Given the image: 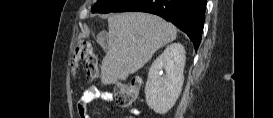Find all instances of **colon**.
Instances as JSON below:
<instances>
[{
  "mask_svg": "<svg viewBox=\"0 0 273 118\" xmlns=\"http://www.w3.org/2000/svg\"><path fill=\"white\" fill-rule=\"evenodd\" d=\"M79 60H84L85 62V71L88 80L93 81L99 78L98 61L92 50L91 43L87 40L80 41L76 46L71 64L74 73ZM139 84V81L117 83L114 92L118 104L124 107L132 105L138 97Z\"/></svg>",
  "mask_w": 273,
  "mask_h": 118,
  "instance_id": "1",
  "label": "colon"
}]
</instances>
